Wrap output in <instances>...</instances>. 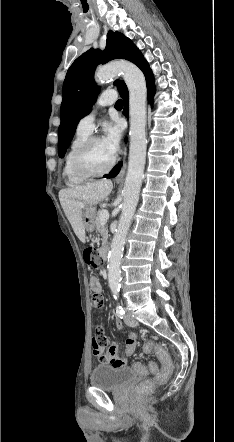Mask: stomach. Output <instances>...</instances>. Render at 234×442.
<instances>
[{
	"instance_id": "1",
	"label": "stomach",
	"mask_w": 234,
	"mask_h": 442,
	"mask_svg": "<svg viewBox=\"0 0 234 442\" xmlns=\"http://www.w3.org/2000/svg\"><path fill=\"white\" fill-rule=\"evenodd\" d=\"M96 209L94 206H86L83 209L82 223L87 232H93L95 229Z\"/></svg>"
}]
</instances>
